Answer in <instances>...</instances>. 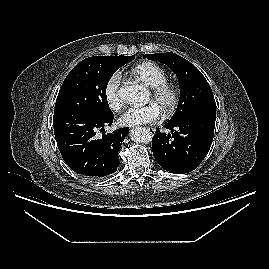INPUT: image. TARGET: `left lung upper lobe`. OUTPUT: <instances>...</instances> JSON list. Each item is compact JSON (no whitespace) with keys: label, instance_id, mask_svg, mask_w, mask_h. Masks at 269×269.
I'll return each instance as SVG.
<instances>
[{"label":"left lung upper lobe","instance_id":"5c2ea615","mask_svg":"<svg viewBox=\"0 0 269 269\" xmlns=\"http://www.w3.org/2000/svg\"><path fill=\"white\" fill-rule=\"evenodd\" d=\"M145 57L165 63L176 73L178 78L180 99L169 123L181 121L205 108L216 109L213 93L207 80L189 61L171 52L146 54Z\"/></svg>","mask_w":269,"mask_h":269}]
</instances>
